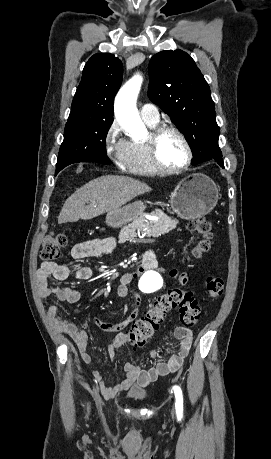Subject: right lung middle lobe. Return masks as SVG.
<instances>
[{
  "label": "right lung middle lobe",
  "mask_w": 271,
  "mask_h": 459,
  "mask_svg": "<svg viewBox=\"0 0 271 459\" xmlns=\"http://www.w3.org/2000/svg\"><path fill=\"white\" fill-rule=\"evenodd\" d=\"M112 122L109 116H69L56 168L76 162L110 164L105 140Z\"/></svg>",
  "instance_id": "dd1d6c3e"
}]
</instances>
